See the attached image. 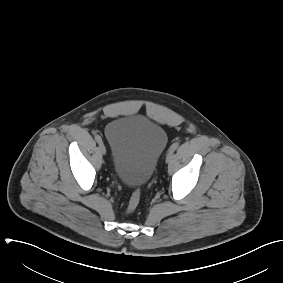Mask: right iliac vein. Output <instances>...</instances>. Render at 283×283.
Returning a JSON list of instances; mask_svg holds the SVG:
<instances>
[{"instance_id":"obj_1","label":"right iliac vein","mask_w":283,"mask_h":283,"mask_svg":"<svg viewBox=\"0 0 283 283\" xmlns=\"http://www.w3.org/2000/svg\"><path fill=\"white\" fill-rule=\"evenodd\" d=\"M99 150H100V152H101L103 155L106 154V147H105V145H104L103 143H100V144H99Z\"/></svg>"}]
</instances>
